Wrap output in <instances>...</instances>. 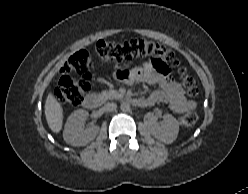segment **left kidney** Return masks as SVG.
<instances>
[{"mask_svg": "<svg viewBox=\"0 0 248 194\" xmlns=\"http://www.w3.org/2000/svg\"><path fill=\"white\" fill-rule=\"evenodd\" d=\"M179 132L178 121L169 114L163 116L161 125L155 124L151 127L150 133L159 141L165 144H171L177 138Z\"/></svg>", "mask_w": 248, "mask_h": 194, "instance_id": "obj_1", "label": "left kidney"}]
</instances>
